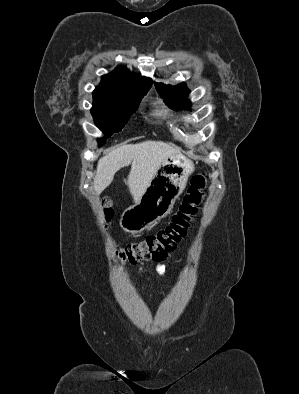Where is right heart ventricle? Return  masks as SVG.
<instances>
[{"label": "right heart ventricle", "instance_id": "obj_1", "mask_svg": "<svg viewBox=\"0 0 299 394\" xmlns=\"http://www.w3.org/2000/svg\"><path fill=\"white\" fill-rule=\"evenodd\" d=\"M167 114V110L164 107H159L155 110V115L158 117H164Z\"/></svg>", "mask_w": 299, "mask_h": 394}]
</instances>
